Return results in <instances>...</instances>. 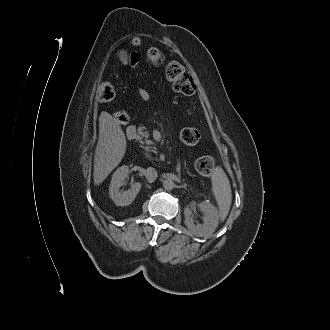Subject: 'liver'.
<instances>
[{
	"label": "liver",
	"mask_w": 330,
	"mask_h": 330,
	"mask_svg": "<svg viewBox=\"0 0 330 330\" xmlns=\"http://www.w3.org/2000/svg\"><path fill=\"white\" fill-rule=\"evenodd\" d=\"M126 151V138L119 123L108 113L99 117V138L95 149L93 179L99 185L121 162Z\"/></svg>",
	"instance_id": "obj_1"
}]
</instances>
